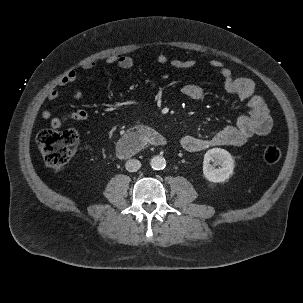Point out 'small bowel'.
Returning a JSON list of instances; mask_svg holds the SVG:
<instances>
[{
  "instance_id": "c3829d8e",
  "label": "small bowel",
  "mask_w": 303,
  "mask_h": 303,
  "mask_svg": "<svg viewBox=\"0 0 303 303\" xmlns=\"http://www.w3.org/2000/svg\"><path fill=\"white\" fill-rule=\"evenodd\" d=\"M156 62L160 65H170L178 70L192 69L196 61L193 59H180L169 57L165 53L156 56ZM108 65H115L132 73L134 61L128 56L112 55L106 59ZM210 67L217 70L224 81V89L229 95H234L246 102V111L240 113L232 125H228L210 137H197L184 135L180 139L181 147L188 152H200L213 146H239L246 143L253 136L267 135L272 128V119L265 100L255 92V86L251 79L234 77L232 71L219 60H211ZM95 62H87L83 65L85 70L95 68ZM77 79L75 70L68 71L59 81V87H66ZM181 93L189 99L201 100L205 96L204 88L196 83H189L181 88ZM60 96L57 88H52L47 94L49 100H56ZM75 97H83L81 91L75 92ZM42 117L50 121L54 129L62 127L68 121H84L88 118L85 109H77L62 116H53L51 111L44 110Z\"/></svg>"
}]
</instances>
